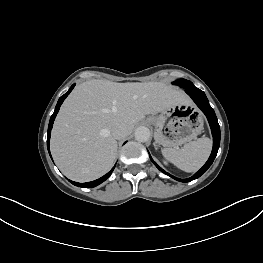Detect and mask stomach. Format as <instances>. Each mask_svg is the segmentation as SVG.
<instances>
[{
  "label": "stomach",
  "instance_id": "stomach-1",
  "mask_svg": "<svg viewBox=\"0 0 263 263\" xmlns=\"http://www.w3.org/2000/svg\"><path fill=\"white\" fill-rule=\"evenodd\" d=\"M147 123L155 127V142L166 148L190 142L203 130V118L189 101L148 117Z\"/></svg>",
  "mask_w": 263,
  "mask_h": 263
}]
</instances>
